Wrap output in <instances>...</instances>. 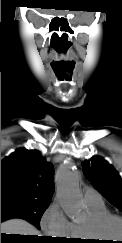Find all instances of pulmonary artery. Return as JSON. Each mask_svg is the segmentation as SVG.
Returning <instances> with one entry per match:
<instances>
[{
  "instance_id": "pulmonary-artery-1",
  "label": "pulmonary artery",
  "mask_w": 122,
  "mask_h": 243,
  "mask_svg": "<svg viewBox=\"0 0 122 243\" xmlns=\"http://www.w3.org/2000/svg\"><path fill=\"white\" fill-rule=\"evenodd\" d=\"M83 198L86 203L102 202L101 196L95 189L91 187L83 188Z\"/></svg>"
}]
</instances>
